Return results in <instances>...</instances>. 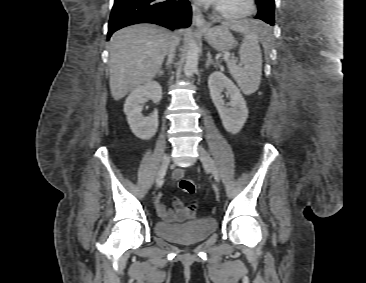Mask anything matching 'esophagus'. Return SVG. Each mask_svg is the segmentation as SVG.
Returning <instances> with one entry per match:
<instances>
[{"label": "esophagus", "instance_id": "obj_1", "mask_svg": "<svg viewBox=\"0 0 366 283\" xmlns=\"http://www.w3.org/2000/svg\"><path fill=\"white\" fill-rule=\"evenodd\" d=\"M192 10H193V22L194 25L202 31H206L209 29V25L206 22L202 12L196 7L194 4H192Z\"/></svg>", "mask_w": 366, "mask_h": 283}]
</instances>
